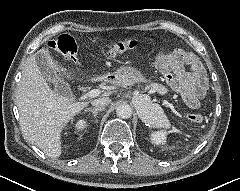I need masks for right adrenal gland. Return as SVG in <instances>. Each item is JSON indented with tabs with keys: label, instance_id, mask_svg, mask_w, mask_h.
Masks as SVG:
<instances>
[{
	"label": "right adrenal gland",
	"instance_id": "1",
	"mask_svg": "<svg viewBox=\"0 0 240 191\" xmlns=\"http://www.w3.org/2000/svg\"><path fill=\"white\" fill-rule=\"evenodd\" d=\"M102 110H104V109H94V108L91 109V108H88V109H86L85 111L92 112L93 117L96 118L97 115H98V112H100V111H102ZM96 122H97V120H96Z\"/></svg>",
	"mask_w": 240,
	"mask_h": 191
}]
</instances>
